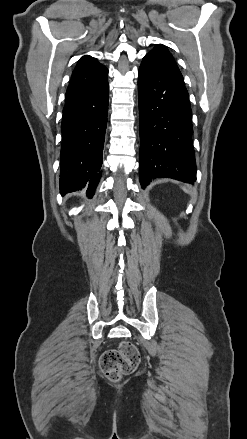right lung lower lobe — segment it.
Returning <instances> with one entry per match:
<instances>
[{"label": "right lung lower lobe", "instance_id": "obj_1", "mask_svg": "<svg viewBox=\"0 0 247 439\" xmlns=\"http://www.w3.org/2000/svg\"><path fill=\"white\" fill-rule=\"evenodd\" d=\"M108 81L100 87L65 97L62 118L60 193L87 186L92 197L101 177L108 110Z\"/></svg>", "mask_w": 247, "mask_h": 439}]
</instances>
